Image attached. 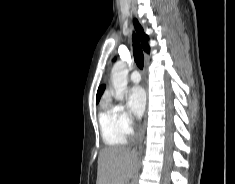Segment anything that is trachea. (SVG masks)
<instances>
[{
	"label": "trachea",
	"instance_id": "obj_1",
	"mask_svg": "<svg viewBox=\"0 0 235 184\" xmlns=\"http://www.w3.org/2000/svg\"><path fill=\"white\" fill-rule=\"evenodd\" d=\"M133 52H134V59H135L137 66L140 69H142L144 65V56H143L141 46L135 35L133 37Z\"/></svg>",
	"mask_w": 235,
	"mask_h": 184
}]
</instances>
